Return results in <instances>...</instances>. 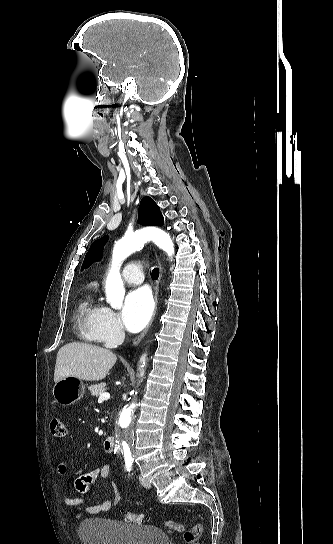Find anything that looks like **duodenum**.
Returning a JSON list of instances; mask_svg holds the SVG:
<instances>
[{"mask_svg":"<svg viewBox=\"0 0 333 544\" xmlns=\"http://www.w3.org/2000/svg\"><path fill=\"white\" fill-rule=\"evenodd\" d=\"M103 447L106 452H112L115 448V437L108 436L103 442Z\"/></svg>","mask_w":333,"mask_h":544,"instance_id":"1","label":"duodenum"}]
</instances>
